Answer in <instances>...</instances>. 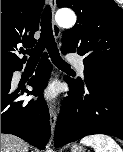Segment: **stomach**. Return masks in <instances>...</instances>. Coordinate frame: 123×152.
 <instances>
[{
  "mask_svg": "<svg viewBox=\"0 0 123 152\" xmlns=\"http://www.w3.org/2000/svg\"><path fill=\"white\" fill-rule=\"evenodd\" d=\"M71 152H85V149L77 144L71 147Z\"/></svg>",
  "mask_w": 123,
  "mask_h": 152,
  "instance_id": "stomach-1",
  "label": "stomach"
}]
</instances>
